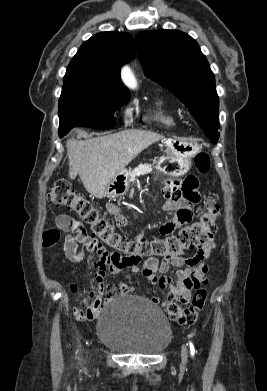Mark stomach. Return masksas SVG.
<instances>
[{"mask_svg":"<svg viewBox=\"0 0 267 391\" xmlns=\"http://www.w3.org/2000/svg\"><path fill=\"white\" fill-rule=\"evenodd\" d=\"M164 155L154 161L159 172L170 177L186 174L191 168V159L199 152L198 144L180 139L164 140ZM130 171L119 172L106 186L104 196L108 198L122 197L130 183Z\"/></svg>","mask_w":267,"mask_h":391,"instance_id":"obj_1","label":"stomach"}]
</instances>
